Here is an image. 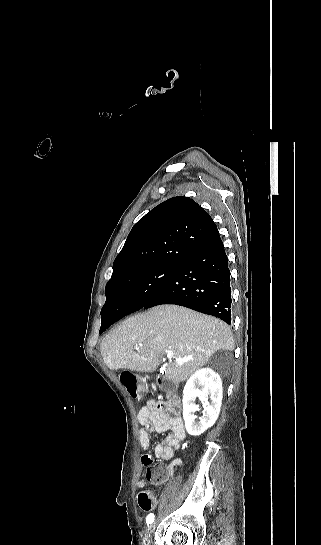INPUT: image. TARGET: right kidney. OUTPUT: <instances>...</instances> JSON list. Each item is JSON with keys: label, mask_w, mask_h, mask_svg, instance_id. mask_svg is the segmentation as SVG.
I'll list each match as a JSON object with an SVG mask.
<instances>
[{"label": "right kidney", "mask_w": 321, "mask_h": 545, "mask_svg": "<svg viewBox=\"0 0 321 545\" xmlns=\"http://www.w3.org/2000/svg\"><path fill=\"white\" fill-rule=\"evenodd\" d=\"M197 397H202L203 417L197 419L195 413L200 411L199 405H195ZM210 399L211 403H208ZM222 401V381L218 373L212 369H200L188 379L183 391V419L185 429L189 435L199 437L209 427H213L217 421L221 409Z\"/></svg>", "instance_id": "right-kidney-1"}]
</instances>
